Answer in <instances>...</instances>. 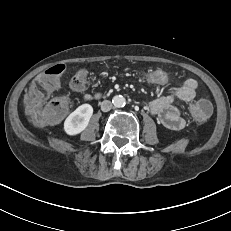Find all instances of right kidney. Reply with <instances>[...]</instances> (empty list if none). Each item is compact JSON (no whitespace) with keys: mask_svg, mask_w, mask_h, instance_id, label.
<instances>
[{"mask_svg":"<svg viewBox=\"0 0 231 231\" xmlns=\"http://www.w3.org/2000/svg\"><path fill=\"white\" fill-rule=\"evenodd\" d=\"M93 115V107L90 104H82L73 111L64 122V131L70 136L81 133L88 126Z\"/></svg>","mask_w":231,"mask_h":231,"instance_id":"ca27d5eb","label":"right kidney"}]
</instances>
